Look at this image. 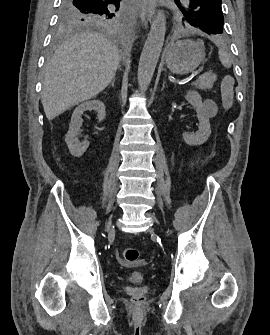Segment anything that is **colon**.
<instances>
[{
	"label": "colon",
	"mask_w": 270,
	"mask_h": 335,
	"mask_svg": "<svg viewBox=\"0 0 270 335\" xmlns=\"http://www.w3.org/2000/svg\"><path fill=\"white\" fill-rule=\"evenodd\" d=\"M219 78L223 79V89L220 99V109H235V102H231L234 98V78L232 72H220ZM138 251L135 248H124L117 254L118 260L123 264H131L136 261ZM139 302L142 298L138 297Z\"/></svg>",
	"instance_id": "1"
}]
</instances>
